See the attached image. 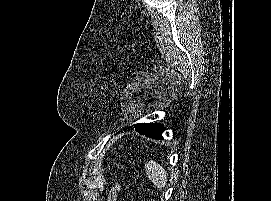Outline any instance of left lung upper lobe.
I'll list each match as a JSON object with an SVG mask.
<instances>
[{
    "label": "left lung upper lobe",
    "instance_id": "5c2ea615",
    "mask_svg": "<svg viewBox=\"0 0 271 201\" xmlns=\"http://www.w3.org/2000/svg\"><path fill=\"white\" fill-rule=\"evenodd\" d=\"M135 130L149 138L163 139L164 126L160 123H139L135 125Z\"/></svg>",
    "mask_w": 271,
    "mask_h": 201
}]
</instances>
